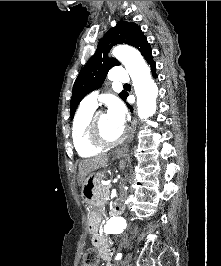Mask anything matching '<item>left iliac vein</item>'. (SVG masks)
I'll list each match as a JSON object with an SVG mask.
<instances>
[{"instance_id": "obj_1", "label": "left iliac vein", "mask_w": 221, "mask_h": 266, "mask_svg": "<svg viewBox=\"0 0 221 266\" xmlns=\"http://www.w3.org/2000/svg\"><path fill=\"white\" fill-rule=\"evenodd\" d=\"M132 261V254L128 253L122 261V266H129Z\"/></svg>"}]
</instances>
